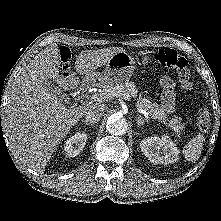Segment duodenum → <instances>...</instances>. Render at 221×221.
I'll return each instance as SVG.
<instances>
[{
    "instance_id": "410a0bca",
    "label": "duodenum",
    "mask_w": 221,
    "mask_h": 221,
    "mask_svg": "<svg viewBox=\"0 0 221 221\" xmlns=\"http://www.w3.org/2000/svg\"><path fill=\"white\" fill-rule=\"evenodd\" d=\"M80 90L84 91L85 90V86H81Z\"/></svg>"
}]
</instances>
